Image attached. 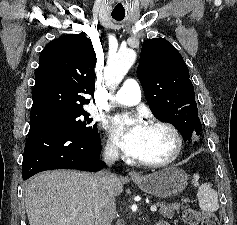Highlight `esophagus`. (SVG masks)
Returning <instances> with one entry per match:
<instances>
[{"label":"esophagus","mask_w":237,"mask_h":225,"mask_svg":"<svg viewBox=\"0 0 237 225\" xmlns=\"http://www.w3.org/2000/svg\"><path fill=\"white\" fill-rule=\"evenodd\" d=\"M129 176H130V177H138L139 175H138L137 172L131 171V172L129 173Z\"/></svg>","instance_id":"1"}]
</instances>
